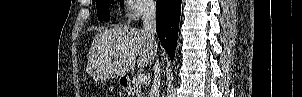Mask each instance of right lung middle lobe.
I'll list each match as a JSON object with an SVG mask.
<instances>
[{
    "mask_svg": "<svg viewBox=\"0 0 302 97\" xmlns=\"http://www.w3.org/2000/svg\"><path fill=\"white\" fill-rule=\"evenodd\" d=\"M112 2H113V0H97L96 1L97 15L101 22L109 21V19H110L109 7Z\"/></svg>",
    "mask_w": 302,
    "mask_h": 97,
    "instance_id": "dd1d6c3e",
    "label": "right lung middle lobe"
}]
</instances>
